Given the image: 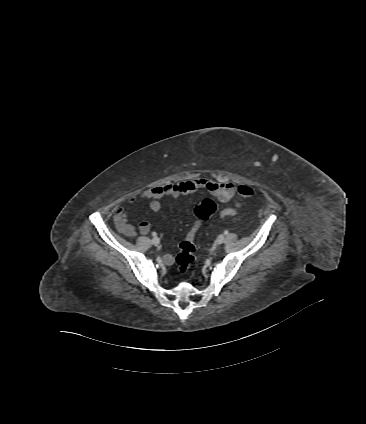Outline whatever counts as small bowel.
Here are the masks:
<instances>
[{
    "label": "small bowel",
    "mask_w": 366,
    "mask_h": 424,
    "mask_svg": "<svg viewBox=\"0 0 366 424\" xmlns=\"http://www.w3.org/2000/svg\"><path fill=\"white\" fill-rule=\"evenodd\" d=\"M198 190H205L212 196L222 202H229L236 195V186L229 181H215L204 177H195L182 180L178 183H169L161 186L151 187L144 190L139 195H133L129 198V204H134L138 201L148 200L149 209L153 213H157L161 209V199L166 196L179 197L188 195ZM241 209V204L234 201L231 207L224 208L220 211V217H229L237 214ZM128 207H120L114 216V222L117 230L126 237L133 238L136 236L135 227L128 222L127 219ZM140 233L147 234L150 230V224L143 221L138 227ZM163 262L166 265H171L173 262L172 255H165Z\"/></svg>",
    "instance_id": "small-bowel-1"
}]
</instances>
